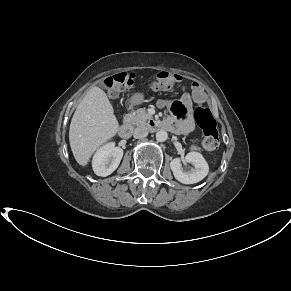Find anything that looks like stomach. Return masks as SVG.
Returning a JSON list of instances; mask_svg holds the SVG:
<instances>
[{"label": "stomach", "instance_id": "obj_1", "mask_svg": "<svg viewBox=\"0 0 291 291\" xmlns=\"http://www.w3.org/2000/svg\"><path fill=\"white\" fill-rule=\"evenodd\" d=\"M144 100V95L142 93H135L132 97H131V103L134 105H138L141 104Z\"/></svg>", "mask_w": 291, "mask_h": 291}]
</instances>
